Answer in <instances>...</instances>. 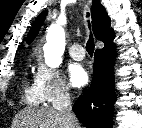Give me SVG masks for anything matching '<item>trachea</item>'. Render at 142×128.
Segmentation results:
<instances>
[{"instance_id": "trachea-1", "label": "trachea", "mask_w": 142, "mask_h": 128, "mask_svg": "<svg viewBox=\"0 0 142 128\" xmlns=\"http://www.w3.org/2000/svg\"><path fill=\"white\" fill-rule=\"evenodd\" d=\"M87 17H89V13H87ZM88 24H89V28H90V23L88 22ZM94 46H95L94 45V38H93L92 33H90L88 42L86 44V50L90 56H92L94 53Z\"/></svg>"}]
</instances>
